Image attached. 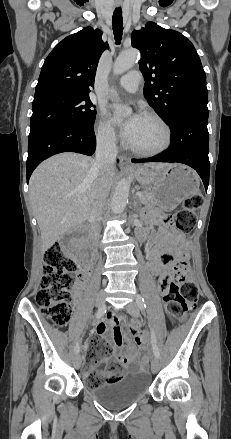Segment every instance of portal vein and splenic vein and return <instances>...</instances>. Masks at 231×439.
<instances>
[{"label":"portal vein and splenic vein","mask_w":231,"mask_h":439,"mask_svg":"<svg viewBox=\"0 0 231 439\" xmlns=\"http://www.w3.org/2000/svg\"><path fill=\"white\" fill-rule=\"evenodd\" d=\"M136 195L140 197L142 195V193L141 192H137Z\"/></svg>","instance_id":"portal-vein-and-splenic-vein-1"}]
</instances>
